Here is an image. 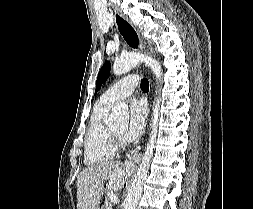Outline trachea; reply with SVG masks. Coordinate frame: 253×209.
<instances>
[{"instance_id": "1", "label": "trachea", "mask_w": 253, "mask_h": 209, "mask_svg": "<svg viewBox=\"0 0 253 209\" xmlns=\"http://www.w3.org/2000/svg\"><path fill=\"white\" fill-rule=\"evenodd\" d=\"M140 87H141L142 89H149V81H148L146 78H143V79L141 80Z\"/></svg>"}]
</instances>
